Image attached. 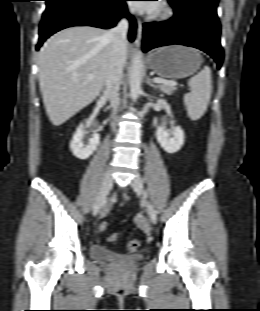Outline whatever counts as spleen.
<instances>
[{
  "label": "spleen",
  "mask_w": 260,
  "mask_h": 311,
  "mask_svg": "<svg viewBox=\"0 0 260 311\" xmlns=\"http://www.w3.org/2000/svg\"><path fill=\"white\" fill-rule=\"evenodd\" d=\"M190 92L184 95V104L191 120L200 119L207 110L212 92L211 69L205 66L188 81Z\"/></svg>",
  "instance_id": "3e777b00"
}]
</instances>
